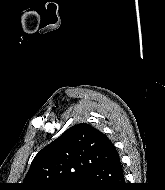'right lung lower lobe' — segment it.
I'll use <instances>...</instances> for the list:
<instances>
[{
	"instance_id": "1",
	"label": "right lung lower lobe",
	"mask_w": 165,
	"mask_h": 190,
	"mask_svg": "<svg viewBox=\"0 0 165 190\" xmlns=\"http://www.w3.org/2000/svg\"><path fill=\"white\" fill-rule=\"evenodd\" d=\"M81 181L80 190H124V174L119 155L85 172Z\"/></svg>"
}]
</instances>
